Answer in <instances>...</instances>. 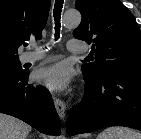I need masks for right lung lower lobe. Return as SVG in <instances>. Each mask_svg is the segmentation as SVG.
<instances>
[{
  "label": "right lung lower lobe",
  "mask_w": 141,
  "mask_h": 139,
  "mask_svg": "<svg viewBox=\"0 0 141 139\" xmlns=\"http://www.w3.org/2000/svg\"><path fill=\"white\" fill-rule=\"evenodd\" d=\"M29 71L0 76V113L17 117L42 133L58 136L60 120L52 98L43 86L28 84Z\"/></svg>",
  "instance_id": "obj_1"
}]
</instances>
